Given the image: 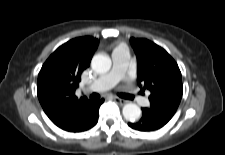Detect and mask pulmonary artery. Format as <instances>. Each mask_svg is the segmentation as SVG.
<instances>
[{"instance_id":"pulmonary-artery-1","label":"pulmonary artery","mask_w":225,"mask_h":155,"mask_svg":"<svg viewBox=\"0 0 225 155\" xmlns=\"http://www.w3.org/2000/svg\"><path fill=\"white\" fill-rule=\"evenodd\" d=\"M129 51L126 47L120 46L112 52V69L100 76L91 86L93 91H105L115 86L120 80L124 79L129 62ZM136 95V91H131ZM138 101L142 105L148 104V99L138 96Z\"/></svg>"}]
</instances>
